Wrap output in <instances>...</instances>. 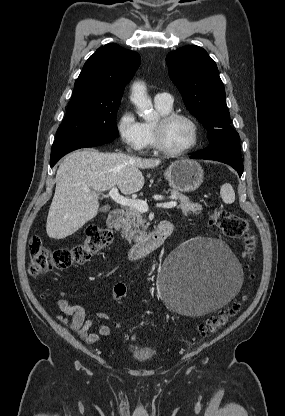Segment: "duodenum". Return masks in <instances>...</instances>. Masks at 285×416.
<instances>
[{"label":"duodenum","mask_w":285,"mask_h":416,"mask_svg":"<svg viewBox=\"0 0 285 416\" xmlns=\"http://www.w3.org/2000/svg\"><path fill=\"white\" fill-rule=\"evenodd\" d=\"M124 217L122 209H115L111 212L108 219V228L111 232H116L119 228L120 222ZM173 225L169 220H161L155 229H153L147 236L140 241L133 244L128 251V258L135 262L146 254L151 253L161 248L164 243L173 234Z\"/></svg>","instance_id":"410a0bca"}]
</instances>
